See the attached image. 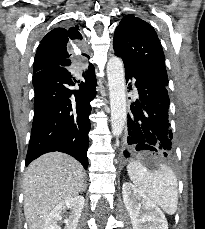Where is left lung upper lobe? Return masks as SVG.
<instances>
[{
    "mask_svg": "<svg viewBox=\"0 0 205 229\" xmlns=\"http://www.w3.org/2000/svg\"><path fill=\"white\" fill-rule=\"evenodd\" d=\"M113 47L115 55L122 58L126 68L167 87L162 45L150 24L133 15L123 17L115 30Z\"/></svg>",
    "mask_w": 205,
    "mask_h": 229,
    "instance_id": "left-lung-upper-lobe-1",
    "label": "left lung upper lobe"
}]
</instances>
